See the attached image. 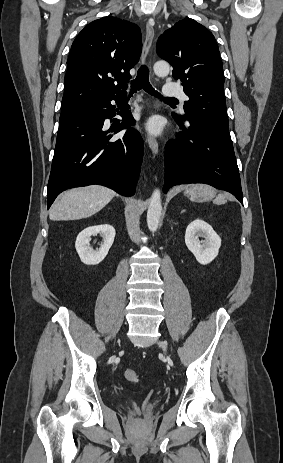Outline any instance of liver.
<instances>
[{
  "label": "liver",
  "instance_id": "1",
  "mask_svg": "<svg viewBox=\"0 0 283 463\" xmlns=\"http://www.w3.org/2000/svg\"><path fill=\"white\" fill-rule=\"evenodd\" d=\"M115 196L109 188L91 185L64 192L49 212L52 221L88 218L104 208Z\"/></svg>",
  "mask_w": 283,
  "mask_h": 463
}]
</instances>
